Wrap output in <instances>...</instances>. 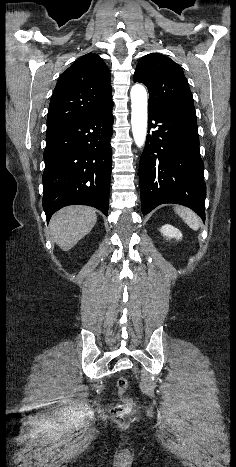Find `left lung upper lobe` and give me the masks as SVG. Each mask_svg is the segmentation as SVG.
Masks as SVG:
<instances>
[{
    "instance_id": "1",
    "label": "left lung upper lobe",
    "mask_w": 236,
    "mask_h": 467,
    "mask_svg": "<svg viewBox=\"0 0 236 467\" xmlns=\"http://www.w3.org/2000/svg\"><path fill=\"white\" fill-rule=\"evenodd\" d=\"M134 81L149 91V108L195 112L193 97L182 68L159 53L145 55L137 64Z\"/></svg>"
}]
</instances>
